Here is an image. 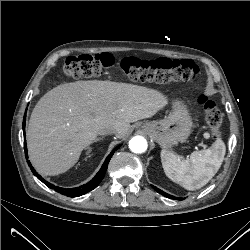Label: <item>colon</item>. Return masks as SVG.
Listing matches in <instances>:
<instances>
[{
	"label": "colon",
	"mask_w": 250,
	"mask_h": 250,
	"mask_svg": "<svg viewBox=\"0 0 250 250\" xmlns=\"http://www.w3.org/2000/svg\"><path fill=\"white\" fill-rule=\"evenodd\" d=\"M109 70H119L124 76L134 81L160 84L178 81L193 82L200 74V68L190 60L169 58L141 60L135 57L116 60L108 53L70 56L63 65L64 75L74 79L98 77ZM198 101L203 107L205 120L211 133L215 137L220 136L222 113L208 97L201 95Z\"/></svg>",
	"instance_id": "1"
}]
</instances>
